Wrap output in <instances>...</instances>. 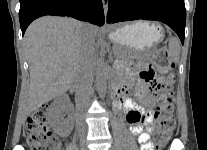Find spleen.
<instances>
[{
  "instance_id": "3e777b00",
  "label": "spleen",
  "mask_w": 207,
  "mask_h": 150,
  "mask_svg": "<svg viewBox=\"0 0 207 150\" xmlns=\"http://www.w3.org/2000/svg\"><path fill=\"white\" fill-rule=\"evenodd\" d=\"M169 56L171 60L178 61L180 56V42L176 37H171L169 40Z\"/></svg>"
}]
</instances>
